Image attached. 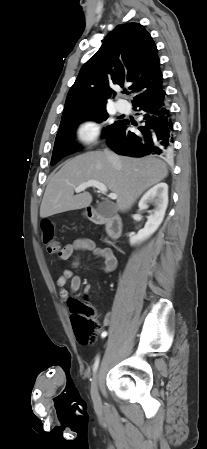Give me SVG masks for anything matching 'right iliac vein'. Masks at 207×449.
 I'll list each match as a JSON object with an SVG mask.
<instances>
[{
  "mask_svg": "<svg viewBox=\"0 0 207 449\" xmlns=\"http://www.w3.org/2000/svg\"><path fill=\"white\" fill-rule=\"evenodd\" d=\"M99 378H100V370L98 369L94 373L92 382H91V397L96 406L100 405V403H101L99 389H98Z\"/></svg>",
  "mask_w": 207,
  "mask_h": 449,
  "instance_id": "obj_1",
  "label": "right iliac vein"
}]
</instances>
